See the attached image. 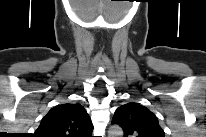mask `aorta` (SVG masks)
Returning <instances> with one entry per match:
<instances>
[{
	"label": "aorta",
	"mask_w": 206,
	"mask_h": 137,
	"mask_svg": "<svg viewBox=\"0 0 206 137\" xmlns=\"http://www.w3.org/2000/svg\"><path fill=\"white\" fill-rule=\"evenodd\" d=\"M109 137H121L123 135V131L120 127L118 126H113L110 130H109Z\"/></svg>",
	"instance_id": "obj_1"
}]
</instances>
